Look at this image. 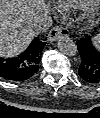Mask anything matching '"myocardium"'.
I'll list each match as a JSON object with an SVG mask.
<instances>
[{"label": "myocardium", "mask_w": 100, "mask_h": 118, "mask_svg": "<svg viewBox=\"0 0 100 118\" xmlns=\"http://www.w3.org/2000/svg\"><path fill=\"white\" fill-rule=\"evenodd\" d=\"M96 1H98V0H94V2H96ZM94 2H93V3H94ZM91 11H92V9H91Z\"/></svg>", "instance_id": "myocardium-1"}]
</instances>
